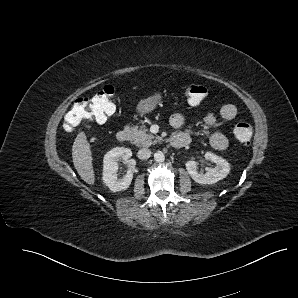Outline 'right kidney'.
Wrapping results in <instances>:
<instances>
[{
	"label": "right kidney",
	"instance_id": "right-kidney-1",
	"mask_svg": "<svg viewBox=\"0 0 298 298\" xmlns=\"http://www.w3.org/2000/svg\"><path fill=\"white\" fill-rule=\"evenodd\" d=\"M132 157V151L125 147H115L103 158L102 180L113 192L126 190L133 179V172L128 170L122 178L117 177L118 161H127Z\"/></svg>",
	"mask_w": 298,
	"mask_h": 298
}]
</instances>
